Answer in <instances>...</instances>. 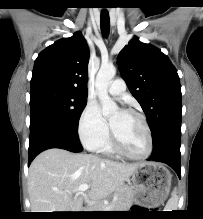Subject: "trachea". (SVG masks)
Instances as JSON below:
<instances>
[{"instance_id":"3493384b","label":"trachea","mask_w":203,"mask_h":219,"mask_svg":"<svg viewBox=\"0 0 203 219\" xmlns=\"http://www.w3.org/2000/svg\"><path fill=\"white\" fill-rule=\"evenodd\" d=\"M100 25L103 35L107 36L110 30V19L107 11L101 12Z\"/></svg>"}]
</instances>
